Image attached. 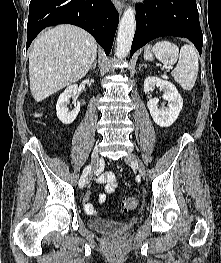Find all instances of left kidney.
Segmentation results:
<instances>
[{"mask_svg": "<svg viewBox=\"0 0 221 263\" xmlns=\"http://www.w3.org/2000/svg\"><path fill=\"white\" fill-rule=\"evenodd\" d=\"M155 86L163 90V99L168 101L167 107L158 108L159 99L150 98L148 109L154 122L160 127L171 126L179 116L183 107V100L176 87L169 81L157 77H147L144 81V92L149 94Z\"/></svg>", "mask_w": 221, "mask_h": 263, "instance_id": "1", "label": "left kidney"}]
</instances>
